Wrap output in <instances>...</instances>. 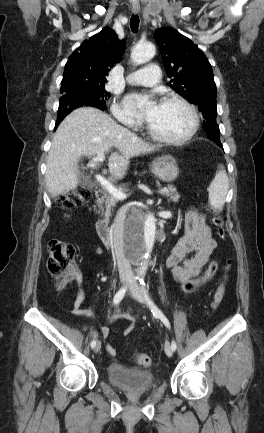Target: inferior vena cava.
Returning a JSON list of instances; mask_svg holds the SVG:
<instances>
[{
	"mask_svg": "<svg viewBox=\"0 0 264 433\" xmlns=\"http://www.w3.org/2000/svg\"><path fill=\"white\" fill-rule=\"evenodd\" d=\"M125 210H121L120 213L115 212L116 219L113 225V250L116 259H118V270L120 278L130 279L133 277V272L131 269V265L127 260V254L124 251V237L125 232L123 230L124 218H125ZM131 252H142V251H131Z\"/></svg>",
	"mask_w": 264,
	"mask_h": 433,
	"instance_id": "1",
	"label": "inferior vena cava"
}]
</instances>
